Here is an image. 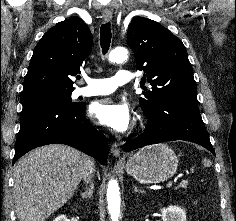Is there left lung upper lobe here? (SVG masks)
Wrapping results in <instances>:
<instances>
[{"mask_svg": "<svg viewBox=\"0 0 236 221\" xmlns=\"http://www.w3.org/2000/svg\"><path fill=\"white\" fill-rule=\"evenodd\" d=\"M127 44L133 49L143 81L152 85L140 98L144 113L168 99L197 101L196 83L184 44L168 29L147 18H134Z\"/></svg>", "mask_w": 236, "mask_h": 221, "instance_id": "obj_1", "label": "left lung upper lobe"}]
</instances>
